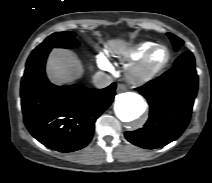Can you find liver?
Instances as JSON below:
<instances>
[{
    "label": "liver",
    "mask_w": 212,
    "mask_h": 183,
    "mask_svg": "<svg viewBox=\"0 0 212 183\" xmlns=\"http://www.w3.org/2000/svg\"><path fill=\"white\" fill-rule=\"evenodd\" d=\"M110 44L124 47L122 41H111ZM46 72L53 84L64 85L74 82L82 75V66L77 56L72 52L55 49L48 58Z\"/></svg>",
    "instance_id": "liver-1"
}]
</instances>
